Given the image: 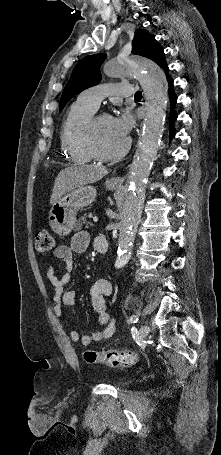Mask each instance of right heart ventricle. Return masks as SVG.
<instances>
[{"label":"right heart ventricle","instance_id":"e07e8e85","mask_svg":"<svg viewBox=\"0 0 221 455\" xmlns=\"http://www.w3.org/2000/svg\"><path fill=\"white\" fill-rule=\"evenodd\" d=\"M95 109L81 100L80 96L69 107L60 130V146L64 157L73 164L90 161L84 144V130Z\"/></svg>","mask_w":221,"mask_h":455}]
</instances>
